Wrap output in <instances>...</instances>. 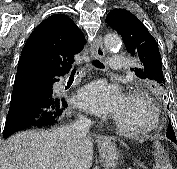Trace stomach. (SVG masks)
Here are the masks:
<instances>
[{
	"label": "stomach",
	"instance_id": "obj_1",
	"mask_svg": "<svg viewBox=\"0 0 177 169\" xmlns=\"http://www.w3.org/2000/svg\"><path fill=\"white\" fill-rule=\"evenodd\" d=\"M101 162L105 169H115L118 164L120 152L115 144L107 141L99 146Z\"/></svg>",
	"mask_w": 177,
	"mask_h": 169
}]
</instances>
